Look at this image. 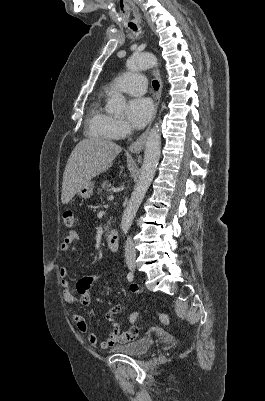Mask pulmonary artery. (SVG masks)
Returning a JSON list of instances; mask_svg holds the SVG:
<instances>
[{"label":"pulmonary artery","mask_w":265,"mask_h":401,"mask_svg":"<svg viewBox=\"0 0 265 401\" xmlns=\"http://www.w3.org/2000/svg\"><path fill=\"white\" fill-rule=\"evenodd\" d=\"M143 75L128 74L120 76L119 81L115 80L108 84L107 91L112 93L121 90L125 95H143L145 90L140 84H143Z\"/></svg>","instance_id":"e3ab8cb5"}]
</instances>
